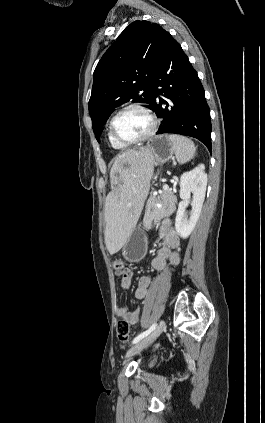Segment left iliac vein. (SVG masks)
<instances>
[{
	"mask_svg": "<svg viewBox=\"0 0 265 423\" xmlns=\"http://www.w3.org/2000/svg\"><path fill=\"white\" fill-rule=\"evenodd\" d=\"M165 329V321L161 320L157 327L145 338H143L141 341L137 342L134 346H132L127 354L126 357L130 358L134 356L135 354L141 352L144 348L149 346Z\"/></svg>",
	"mask_w": 265,
	"mask_h": 423,
	"instance_id": "left-iliac-vein-1",
	"label": "left iliac vein"
}]
</instances>
